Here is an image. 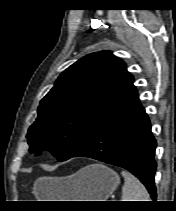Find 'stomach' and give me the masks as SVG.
Wrapping results in <instances>:
<instances>
[{"mask_svg": "<svg viewBox=\"0 0 176 211\" xmlns=\"http://www.w3.org/2000/svg\"><path fill=\"white\" fill-rule=\"evenodd\" d=\"M120 183L118 174L103 164H92L68 177H43L36 193L47 201H107Z\"/></svg>", "mask_w": 176, "mask_h": 211, "instance_id": "0dacf381", "label": "stomach"}]
</instances>
